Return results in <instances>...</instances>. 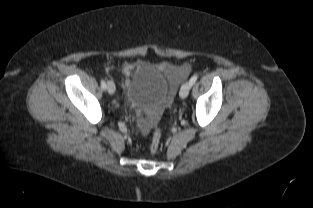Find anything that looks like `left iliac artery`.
Masks as SVG:
<instances>
[{
    "label": "left iliac artery",
    "mask_w": 313,
    "mask_h": 208,
    "mask_svg": "<svg viewBox=\"0 0 313 208\" xmlns=\"http://www.w3.org/2000/svg\"><path fill=\"white\" fill-rule=\"evenodd\" d=\"M197 78H198V75H197V74L193 75V76L190 78V81H189V82H190V85H191V86L196 82Z\"/></svg>",
    "instance_id": "1"
}]
</instances>
